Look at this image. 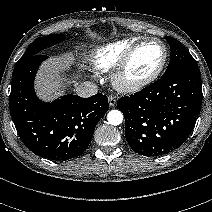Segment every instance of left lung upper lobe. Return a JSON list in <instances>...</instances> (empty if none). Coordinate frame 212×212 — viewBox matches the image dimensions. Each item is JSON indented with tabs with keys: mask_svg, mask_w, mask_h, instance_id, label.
<instances>
[{
	"mask_svg": "<svg viewBox=\"0 0 212 212\" xmlns=\"http://www.w3.org/2000/svg\"><path fill=\"white\" fill-rule=\"evenodd\" d=\"M166 39L170 45L171 59L163 76L170 75L184 68L198 67L195 59L178 40L169 36H167Z\"/></svg>",
	"mask_w": 212,
	"mask_h": 212,
	"instance_id": "left-lung-upper-lobe-1",
	"label": "left lung upper lobe"
}]
</instances>
